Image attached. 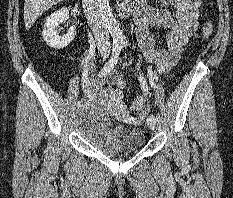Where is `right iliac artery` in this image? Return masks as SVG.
I'll use <instances>...</instances> for the list:
<instances>
[{
	"label": "right iliac artery",
	"instance_id": "right-iliac-artery-1",
	"mask_svg": "<svg viewBox=\"0 0 233 198\" xmlns=\"http://www.w3.org/2000/svg\"><path fill=\"white\" fill-rule=\"evenodd\" d=\"M111 58L108 60V62L105 64V66L102 68V70L99 73V77L105 76L109 71H111L115 65L117 64V60L121 51V45L118 42H115L113 44V50H112ZM76 106L79 108L82 106V101H78Z\"/></svg>",
	"mask_w": 233,
	"mask_h": 198
}]
</instances>
